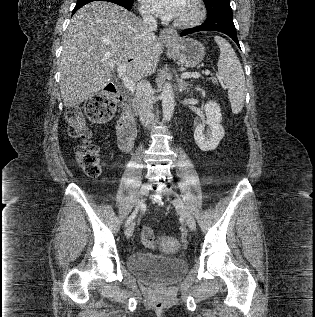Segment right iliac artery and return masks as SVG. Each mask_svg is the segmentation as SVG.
Masks as SVG:
<instances>
[{"instance_id": "1", "label": "right iliac artery", "mask_w": 315, "mask_h": 317, "mask_svg": "<svg viewBox=\"0 0 315 317\" xmlns=\"http://www.w3.org/2000/svg\"><path fill=\"white\" fill-rule=\"evenodd\" d=\"M137 213H138V209H135L133 213L128 217L125 223V226H127L130 222H132V220L136 217Z\"/></svg>"}]
</instances>
